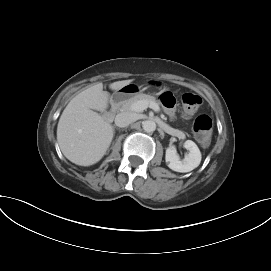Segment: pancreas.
<instances>
[{
  "mask_svg": "<svg viewBox=\"0 0 271 271\" xmlns=\"http://www.w3.org/2000/svg\"><path fill=\"white\" fill-rule=\"evenodd\" d=\"M137 101H147L148 103H155L159 106L155 97L140 93V94H137V95L125 100L121 105V110H123V111L131 110L132 105L134 103H136Z\"/></svg>",
  "mask_w": 271,
  "mask_h": 271,
  "instance_id": "obj_1",
  "label": "pancreas"
}]
</instances>
